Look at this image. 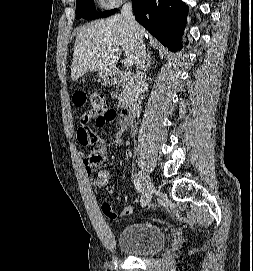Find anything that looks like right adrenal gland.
<instances>
[{"label": "right adrenal gland", "mask_w": 253, "mask_h": 271, "mask_svg": "<svg viewBox=\"0 0 253 271\" xmlns=\"http://www.w3.org/2000/svg\"><path fill=\"white\" fill-rule=\"evenodd\" d=\"M151 53L149 52L148 54H147V59H146V65H145V71H147V69H148V67L151 65Z\"/></svg>", "instance_id": "1"}]
</instances>
